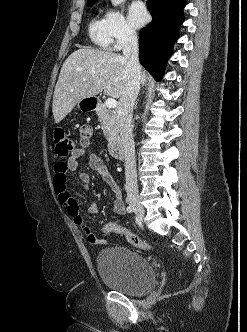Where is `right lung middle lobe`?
Instances as JSON below:
<instances>
[{
    "mask_svg": "<svg viewBox=\"0 0 247 332\" xmlns=\"http://www.w3.org/2000/svg\"><path fill=\"white\" fill-rule=\"evenodd\" d=\"M93 4H88V6H92Z\"/></svg>",
    "mask_w": 247,
    "mask_h": 332,
    "instance_id": "1",
    "label": "right lung middle lobe"
}]
</instances>
